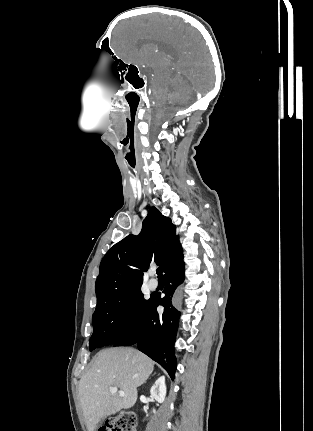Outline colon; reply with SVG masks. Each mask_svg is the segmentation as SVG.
Returning a JSON list of instances; mask_svg holds the SVG:
<instances>
[{"label":"colon","instance_id":"obj_1","mask_svg":"<svg viewBox=\"0 0 313 431\" xmlns=\"http://www.w3.org/2000/svg\"><path fill=\"white\" fill-rule=\"evenodd\" d=\"M136 427V414L131 411H122L111 418L99 431H136Z\"/></svg>","mask_w":313,"mask_h":431}]
</instances>
